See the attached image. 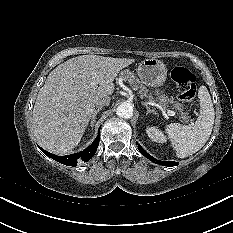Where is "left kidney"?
<instances>
[{
    "instance_id": "1",
    "label": "left kidney",
    "mask_w": 233,
    "mask_h": 233,
    "mask_svg": "<svg viewBox=\"0 0 233 233\" xmlns=\"http://www.w3.org/2000/svg\"><path fill=\"white\" fill-rule=\"evenodd\" d=\"M146 133L148 137L154 142H159V143L166 142L165 135L161 131H159V129H157L156 127H148L146 129Z\"/></svg>"
}]
</instances>
